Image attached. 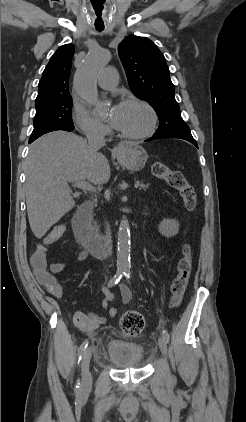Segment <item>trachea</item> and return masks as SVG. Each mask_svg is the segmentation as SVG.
Segmentation results:
<instances>
[{"instance_id": "3493384b", "label": "trachea", "mask_w": 246, "mask_h": 422, "mask_svg": "<svg viewBox=\"0 0 246 422\" xmlns=\"http://www.w3.org/2000/svg\"><path fill=\"white\" fill-rule=\"evenodd\" d=\"M100 6H102V2L100 3ZM97 31H102L104 27H96Z\"/></svg>"}]
</instances>
